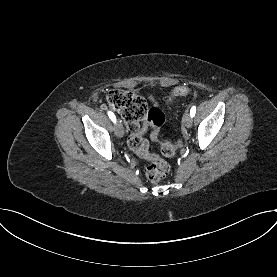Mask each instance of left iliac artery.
Segmentation results:
<instances>
[{
  "instance_id": "44dca946",
  "label": "left iliac artery",
  "mask_w": 277,
  "mask_h": 277,
  "mask_svg": "<svg viewBox=\"0 0 277 277\" xmlns=\"http://www.w3.org/2000/svg\"><path fill=\"white\" fill-rule=\"evenodd\" d=\"M195 113H196V107H195V106H192V108H191V110H190V115H191V117H194Z\"/></svg>"
}]
</instances>
